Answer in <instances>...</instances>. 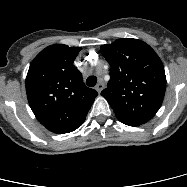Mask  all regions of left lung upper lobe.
Masks as SVG:
<instances>
[{
    "mask_svg": "<svg viewBox=\"0 0 187 187\" xmlns=\"http://www.w3.org/2000/svg\"><path fill=\"white\" fill-rule=\"evenodd\" d=\"M101 52L111 67L110 81L101 95L122 123L148 122L159 110L166 89L164 66L156 52L132 38L102 45Z\"/></svg>",
    "mask_w": 187,
    "mask_h": 187,
    "instance_id": "obj_1",
    "label": "left lung upper lobe"
}]
</instances>
